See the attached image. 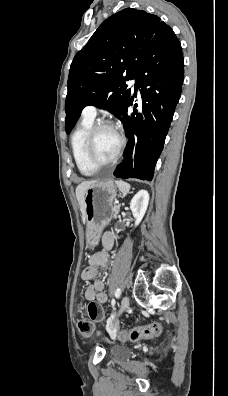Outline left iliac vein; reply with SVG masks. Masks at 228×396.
<instances>
[{
	"instance_id": "left-iliac-vein-1",
	"label": "left iliac vein",
	"mask_w": 228,
	"mask_h": 396,
	"mask_svg": "<svg viewBox=\"0 0 228 396\" xmlns=\"http://www.w3.org/2000/svg\"><path fill=\"white\" fill-rule=\"evenodd\" d=\"M128 306H129V297L124 296L121 301L118 317L128 308ZM116 321L117 319L114 321V323H116Z\"/></svg>"
}]
</instances>
